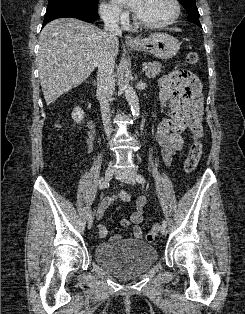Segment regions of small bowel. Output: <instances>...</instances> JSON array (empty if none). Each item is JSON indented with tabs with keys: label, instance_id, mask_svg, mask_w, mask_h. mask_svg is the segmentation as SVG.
<instances>
[{
	"label": "small bowel",
	"instance_id": "small-bowel-1",
	"mask_svg": "<svg viewBox=\"0 0 245 314\" xmlns=\"http://www.w3.org/2000/svg\"><path fill=\"white\" fill-rule=\"evenodd\" d=\"M159 100L164 108L166 116L159 122L155 139L161 148V154L166 166H170L175 155L182 150L185 140L182 136L184 130L191 131L192 138L198 139L203 135V95L202 83L197 75L185 69L175 70L160 81ZM95 133L92 126L87 130V148L91 153ZM120 198L123 201H131L130 196L121 191ZM147 203L146 196H140L136 200V209L129 219H122L121 225L127 227L132 225L130 239H141L143 230L140 224L144 217V207ZM110 200H104L99 207L97 217L101 218ZM99 237L107 235V229L98 225ZM122 239L121 235H114L110 242H117Z\"/></svg>",
	"mask_w": 245,
	"mask_h": 314
}]
</instances>
